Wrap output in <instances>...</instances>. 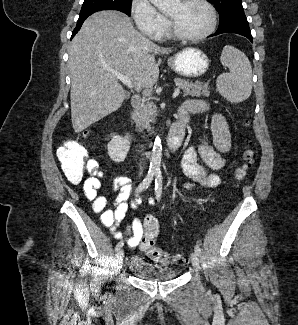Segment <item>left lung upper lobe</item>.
Segmentation results:
<instances>
[{"label":"left lung upper lobe","mask_w":298,"mask_h":325,"mask_svg":"<svg viewBox=\"0 0 298 325\" xmlns=\"http://www.w3.org/2000/svg\"><path fill=\"white\" fill-rule=\"evenodd\" d=\"M216 6L220 15V24L227 20L244 15L242 0H211Z\"/></svg>","instance_id":"1"}]
</instances>
